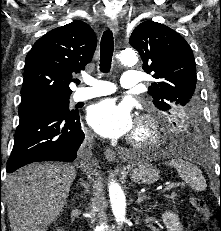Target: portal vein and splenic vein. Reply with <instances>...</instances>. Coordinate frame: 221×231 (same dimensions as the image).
<instances>
[{
  "mask_svg": "<svg viewBox=\"0 0 221 231\" xmlns=\"http://www.w3.org/2000/svg\"><path fill=\"white\" fill-rule=\"evenodd\" d=\"M174 186H175L174 183L168 184V185L163 189V192L173 189Z\"/></svg>",
  "mask_w": 221,
  "mask_h": 231,
  "instance_id": "1",
  "label": "portal vein and splenic vein"
}]
</instances>
